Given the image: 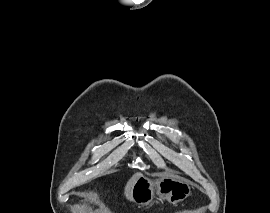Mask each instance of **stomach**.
Segmentation results:
<instances>
[{
  "mask_svg": "<svg viewBox=\"0 0 270 213\" xmlns=\"http://www.w3.org/2000/svg\"><path fill=\"white\" fill-rule=\"evenodd\" d=\"M157 179L141 175L132 190V200L141 207L153 204L155 193L172 204L184 201L191 192L189 182L168 174H158Z\"/></svg>",
  "mask_w": 270,
  "mask_h": 213,
  "instance_id": "obj_1",
  "label": "stomach"
}]
</instances>
